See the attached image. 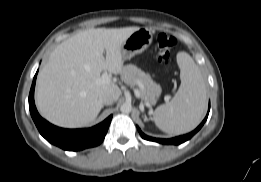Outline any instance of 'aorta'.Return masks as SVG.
Listing matches in <instances>:
<instances>
[{
    "label": "aorta",
    "mask_w": 261,
    "mask_h": 182,
    "mask_svg": "<svg viewBox=\"0 0 261 182\" xmlns=\"http://www.w3.org/2000/svg\"><path fill=\"white\" fill-rule=\"evenodd\" d=\"M120 111L124 114H128L132 111V106L129 103H124L120 107Z\"/></svg>",
    "instance_id": "aorta-1"
}]
</instances>
